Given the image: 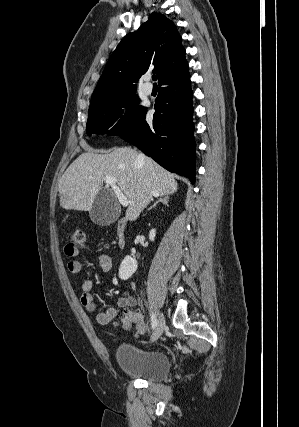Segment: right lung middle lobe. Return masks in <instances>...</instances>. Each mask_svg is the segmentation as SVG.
Returning <instances> with one entry per match:
<instances>
[{"label":"right lung middle lobe","mask_w":299,"mask_h":427,"mask_svg":"<svg viewBox=\"0 0 299 427\" xmlns=\"http://www.w3.org/2000/svg\"><path fill=\"white\" fill-rule=\"evenodd\" d=\"M136 91L96 100L90 103L86 131L122 135L133 129L141 120L146 109L137 106ZM129 108L121 117L122 108Z\"/></svg>","instance_id":"1"}]
</instances>
